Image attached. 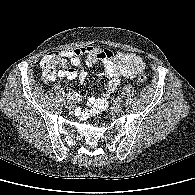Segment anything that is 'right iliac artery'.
<instances>
[{
	"label": "right iliac artery",
	"mask_w": 195,
	"mask_h": 195,
	"mask_svg": "<svg viewBox=\"0 0 195 195\" xmlns=\"http://www.w3.org/2000/svg\"><path fill=\"white\" fill-rule=\"evenodd\" d=\"M67 97L68 98H73V95H71V93H67Z\"/></svg>",
	"instance_id": "1"
}]
</instances>
